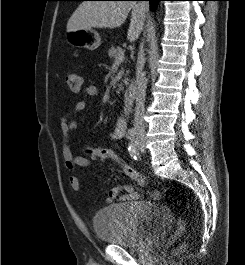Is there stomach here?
<instances>
[{"label":"stomach","mask_w":245,"mask_h":265,"mask_svg":"<svg viewBox=\"0 0 245 265\" xmlns=\"http://www.w3.org/2000/svg\"><path fill=\"white\" fill-rule=\"evenodd\" d=\"M66 40L68 44L73 47L86 48L89 50H95L101 44L99 34L93 29L68 32Z\"/></svg>","instance_id":"1"}]
</instances>
